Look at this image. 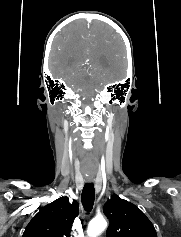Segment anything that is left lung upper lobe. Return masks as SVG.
<instances>
[{
    "label": "left lung upper lobe",
    "instance_id": "obj_1",
    "mask_svg": "<svg viewBox=\"0 0 181 237\" xmlns=\"http://www.w3.org/2000/svg\"><path fill=\"white\" fill-rule=\"evenodd\" d=\"M103 212L110 220L106 237H157L147 216L136 205L116 194L105 203Z\"/></svg>",
    "mask_w": 181,
    "mask_h": 237
}]
</instances>
